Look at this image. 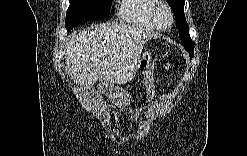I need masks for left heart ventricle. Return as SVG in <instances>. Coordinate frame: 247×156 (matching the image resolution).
I'll return each mask as SVG.
<instances>
[{"label": "left heart ventricle", "mask_w": 247, "mask_h": 156, "mask_svg": "<svg viewBox=\"0 0 247 156\" xmlns=\"http://www.w3.org/2000/svg\"><path fill=\"white\" fill-rule=\"evenodd\" d=\"M158 21L162 24V25H166L169 22V16L167 14V12L164 9H161L158 12L157 15Z\"/></svg>", "instance_id": "left-heart-ventricle-1"}]
</instances>
